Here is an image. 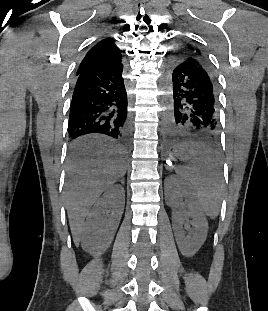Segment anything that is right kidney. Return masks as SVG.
Segmentation results:
<instances>
[{
    "instance_id": "ca27d5eb",
    "label": "right kidney",
    "mask_w": 268,
    "mask_h": 311,
    "mask_svg": "<svg viewBox=\"0 0 268 311\" xmlns=\"http://www.w3.org/2000/svg\"><path fill=\"white\" fill-rule=\"evenodd\" d=\"M125 191L121 185L109 187L96 201L84 224L81 245L91 254L105 252L110 246L124 211Z\"/></svg>"
}]
</instances>
